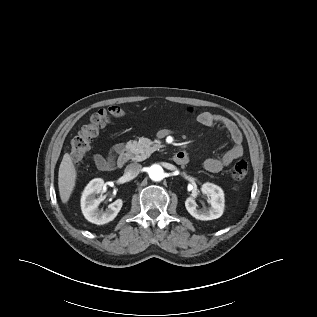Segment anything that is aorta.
I'll return each instance as SVG.
<instances>
[{
    "mask_svg": "<svg viewBox=\"0 0 317 317\" xmlns=\"http://www.w3.org/2000/svg\"><path fill=\"white\" fill-rule=\"evenodd\" d=\"M149 177L153 181H161L164 178V170L160 165L154 164L149 169Z\"/></svg>",
    "mask_w": 317,
    "mask_h": 317,
    "instance_id": "1",
    "label": "aorta"
}]
</instances>
